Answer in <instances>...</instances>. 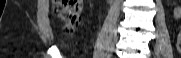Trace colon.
<instances>
[{
  "mask_svg": "<svg viewBox=\"0 0 181 58\" xmlns=\"http://www.w3.org/2000/svg\"><path fill=\"white\" fill-rule=\"evenodd\" d=\"M82 0H56L54 5L55 13L64 23L66 35L72 34L80 23ZM177 48L181 53V30L177 38Z\"/></svg>",
  "mask_w": 181,
  "mask_h": 58,
  "instance_id": "obj_1",
  "label": "colon"
}]
</instances>
